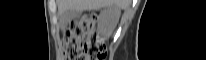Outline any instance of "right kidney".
Wrapping results in <instances>:
<instances>
[{"label": "right kidney", "instance_id": "1", "mask_svg": "<svg viewBox=\"0 0 206 60\" xmlns=\"http://www.w3.org/2000/svg\"><path fill=\"white\" fill-rule=\"evenodd\" d=\"M120 16V11L115 6H110L100 14V30L105 37H109L113 32Z\"/></svg>", "mask_w": 206, "mask_h": 60}]
</instances>
